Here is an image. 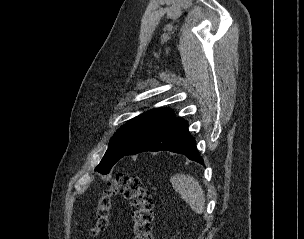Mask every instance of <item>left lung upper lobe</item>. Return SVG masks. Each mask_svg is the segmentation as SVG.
<instances>
[{
    "label": "left lung upper lobe",
    "instance_id": "1",
    "mask_svg": "<svg viewBox=\"0 0 304 239\" xmlns=\"http://www.w3.org/2000/svg\"><path fill=\"white\" fill-rule=\"evenodd\" d=\"M174 118L170 108L152 109L134 117L113 135L108 150L95 170L108 174L113 165L137 143Z\"/></svg>",
    "mask_w": 304,
    "mask_h": 239
}]
</instances>
